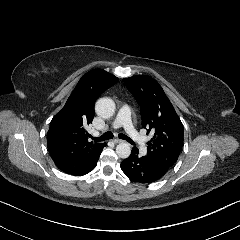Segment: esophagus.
Masks as SVG:
<instances>
[{
    "label": "esophagus",
    "mask_w": 240,
    "mask_h": 240,
    "mask_svg": "<svg viewBox=\"0 0 240 240\" xmlns=\"http://www.w3.org/2000/svg\"><path fill=\"white\" fill-rule=\"evenodd\" d=\"M121 142H123V140H121V139H114V143H121Z\"/></svg>",
    "instance_id": "obj_1"
}]
</instances>
